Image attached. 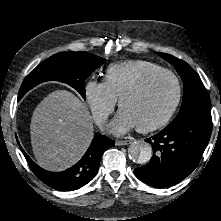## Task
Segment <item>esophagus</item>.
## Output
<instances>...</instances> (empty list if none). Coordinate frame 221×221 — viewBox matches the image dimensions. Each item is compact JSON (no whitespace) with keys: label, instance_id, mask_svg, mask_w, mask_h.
<instances>
[{"label":"esophagus","instance_id":"1","mask_svg":"<svg viewBox=\"0 0 221 221\" xmlns=\"http://www.w3.org/2000/svg\"><path fill=\"white\" fill-rule=\"evenodd\" d=\"M133 142V140H116L115 144L117 146L129 145Z\"/></svg>","mask_w":221,"mask_h":221}]
</instances>
